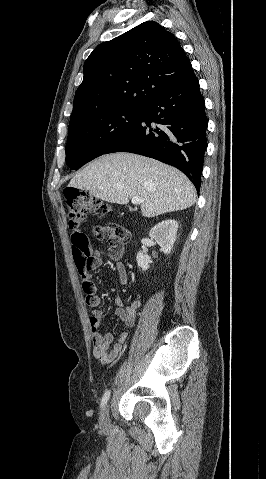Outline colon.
Here are the masks:
<instances>
[{
  "mask_svg": "<svg viewBox=\"0 0 266 479\" xmlns=\"http://www.w3.org/2000/svg\"><path fill=\"white\" fill-rule=\"evenodd\" d=\"M65 208L69 218L71 231V245L76 270L81 278L82 290L86 297V303L94 306L98 296L93 281L88 272L91 269L90 246L87 235L83 231L86 216L89 212L106 211L103 202L85 192L75 188L64 190ZM95 237L99 241L109 244H120L127 238L126 230L116 223L98 224L93 228Z\"/></svg>",
  "mask_w": 266,
  "mask_h": 479,
  "instance_id": "colon-1",
  "label": "colon"
}]
</instances>
